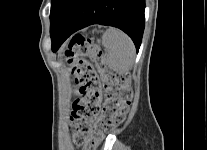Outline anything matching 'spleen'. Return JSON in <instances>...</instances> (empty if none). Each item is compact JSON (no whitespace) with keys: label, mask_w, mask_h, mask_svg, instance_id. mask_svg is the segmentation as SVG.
<instances>
[{"label":"spleen","mask_w":207,"mask_h":150,"mask_svg":"<svg viewBox=\"0 0 207 150\" xmlns=\"http://www.w3.org/2000/svg\"><path fill=\"white\" fill-rule=\"evenodd\" d=\"M106 62L110 69L117 72L129 71L135 61V47L132 40L117 28H108L102 37Z\"/></svg>","instance_id":"3e777b00"}]
</instances>
